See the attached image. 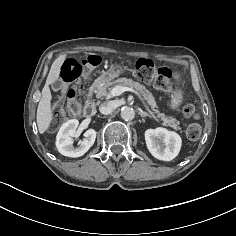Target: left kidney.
Segmentation results:
<instances>
[{
    "mask_svg": "<svg viewBox=\"0 0 236 236\" xmlns=\"http://www.w3.org/2000/svg\"><path fill=\"white\" fill-rule=\"evenodd\" d=\"M145 141L150 153L163 161L174 159L182 144L181 137L177 133L161 127L146 130Z\"/></svg>",
    "mask_w": 236,
    "mask_h": 236,
    "instance_id": "5707ae66",
    "label": "left kidney"
}]
</instances>
